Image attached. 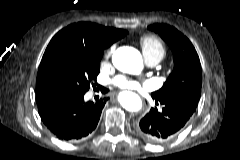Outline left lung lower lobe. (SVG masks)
<instances>
[{"label":"left lung lower lobe","instance_id":"0a47b994","mask_svg":"<svg viewBox=\"0 0 240 160\" xmlns=\"http://www.w3.org/2000/svg\"><path fill=\"white\" fill-rule=\"evenodd\" d=\"M155 103L163 105L161 112L152 108L136 125L138 135L151 143H163L173 138L195 112L188 104L166 100Z\"/></svg>","mask_w":240,"mask_h":160}]
</instances>
